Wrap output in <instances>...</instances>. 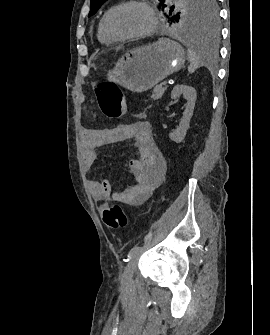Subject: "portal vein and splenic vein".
Instances as JSON below:
<instances>
[{
    "label": "portal vein and splenic vein",
    "instance_id": "1",
    "mask_svg": "<svg viewBox=\"0 0 270 335\" xmlns=\"http://www.w3.org/2000/svg\"><path fill=\"white\" fill-rule=\"evenodd\" d=\"M162 83H163L162 85H163L164 87L167 85V84H166L167 82H166L165 80H164Z\"/></svg>",
    "mask_w": 270,
    "mask_h": 335
}]
</instances>
